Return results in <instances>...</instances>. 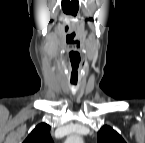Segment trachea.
<instances>
[{
  "mask_svg": "<svg viewBox=\"0 0 145 143\" xmlns=\"http://www.w3.org/2000/svg\"><path fill=\"white\" fill-rule=\"evenodd\" d=\"M72 84H73V85H76V84H77V82H72Z\"/></svg>",
  "mask_w": 145,
  "mask_h": 143,
  "instance_id": "1",
  "label": "trachea"
}]
</instances>
